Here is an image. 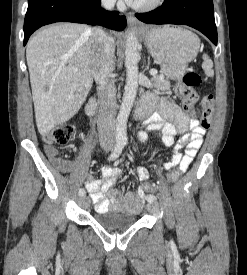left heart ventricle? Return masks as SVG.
<instances>
[{"instance_id": "b2bd125f", "label": "left heart ventricle", "mask_w": 247, "mask_h": 275, "mask_svg": "<svg viewBox=\"0 0 247 275\" xmlns=\"http://www.w3.org/2000/svg\"><path fill=\"white\" fill-rule=\"evenodd\" d=\"M149 1H151V0H138L137 5H143V4L148 3Z\"/></svg>"}]
</instances>
